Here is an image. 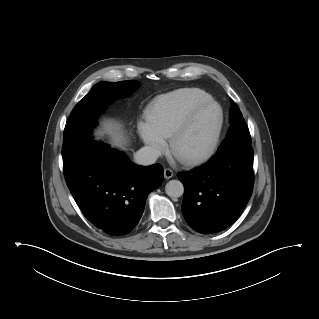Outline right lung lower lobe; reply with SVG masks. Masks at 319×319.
<instances>
[{"mask_svg":"<svg viewBox=\"0 0 319 319\" xmlns=\"http://www.w3.org/2000/svg\"><path fill=\"white\" fill-rule=\"evenodd\" d=\"M67 186L85 217L111 236L138 224L147 195L163 182L160 164L143 167L91 137L63 160Z\"/></svg>","mask_w":319,"mask_h":319,"instance_id":"98d812e1","label":"right lung lower lobe"}]
</instances>
